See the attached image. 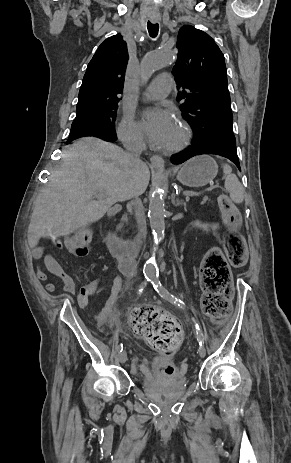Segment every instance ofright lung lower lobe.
<instances>
[{
	"mask_svg": "<svg viewBox=\"0 0 291 463\" xmlns=\"http://www.w3.org/2000/svg\"><path fill=\"white\" fill-rule=\"evenodd\" d=\"M94 137L100 138L105 141H110V142L115 141L117 139L116 135H98Z\"/></svg>",
	"mask_w": 291,
	"mask_h": 463,
	"instance_id": "obj_1",
	"label": "right lung lower lobe"
}]
</instances>
